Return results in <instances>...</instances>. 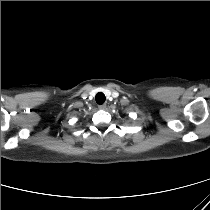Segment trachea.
<instances>
[{
    "label": "trachea",
    "mask_w": 210,
    "mask_h": 210,
    "mask_svg": "<svg viewBox=\"0 0 210 210\" xmlns=\"http://www.w3.org/2000/svg\"><path fill=\"white\" fill-rule=\"evenodd\" d=\"M95 100L98 104H103L105 102V95L100 92L96 95Z\"/></svg>",
    "instance_id": "1"
}]
</instances>
